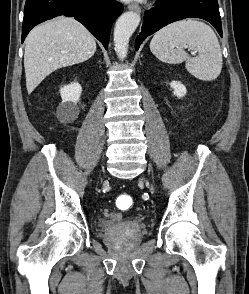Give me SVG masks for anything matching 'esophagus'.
Returning <instances> with one entry per match:
<instances>
[{"label": "esophagus", "mask_w": 249, "mask_h": 294, "mask_svg": "<svg viewBox=\"0 0 249 294\" xmlns=\"http://www.w3.org/2000/svg\"><path fill=\"white\" fill-rule=\"evenodd\" d=\"M128 9H129V10H132V11H135V12H137V13H140V12H141V8H140V6H139L138 4H135V3L130 4V5L128 6Z\"/></svg>", "instance_id": "34e87169"}]
</instances>
